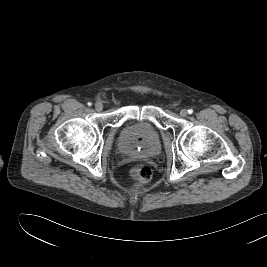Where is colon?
<instances>
[{
  "label": "colon",
  "instance_id": "colon-1",
  "mask_svg": "<svg viewBox=\"0 0 267 267\" xmlns=\"http://www.w3.org/2000/svg\"><path fill=\"white\" fill-rule=\"evenodd\" d=\"M128 178L136 184H144L150 181L152 169L146 163H133L127 171Z\"/></svg>",
  "mask_w": 267,
  "mask_h": 267
}]
</instances>
